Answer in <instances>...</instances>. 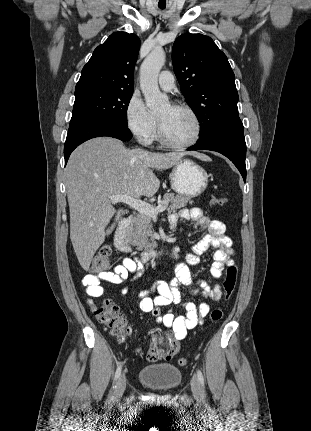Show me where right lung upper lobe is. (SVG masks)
Returning <instances> with one entry per match:
<instances>
[{
	"label": "right lung upper lobe",
	"mask_w": 311,
	"mask_h": 431,
	"mask_svg": "<svg viewBox=\"0 0 311 431\" xmlns=\"http://www.w3.org/2000/svg\"><path fill=\"white\" fill-rule=\"evenodd\" d=\"M139 49L140 39L135 34H111L94 50L83 67L75 91L88 88L133 91V74Z\"/></svg>",
	"instance_id": "cb5924a9"
}]
</instances>
